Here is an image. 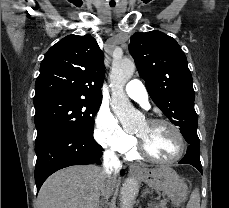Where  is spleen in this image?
<instances>
[{
	"label": "spleen",
	"instance_id": "obj_1",
	"mask_svg": "<svg viewBox=\"0 0 229 208\" xmlns=\"http://www.w3.org/2000/svg\"><path fill=\"white\" fill-rule=\"evenodd\" d=\"M187 208H200V194L198 188L192 192Z\"/></svg>",
	"mask_w": 229,
	"mask_h": 208
}]
</instances>
